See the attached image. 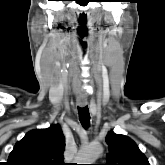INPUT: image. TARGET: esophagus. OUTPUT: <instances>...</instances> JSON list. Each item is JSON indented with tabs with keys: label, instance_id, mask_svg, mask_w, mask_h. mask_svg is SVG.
Instances as JSON below:
<instances>
[{
	"label": "esophagus",
	"instance_id": "obj_1",
	"mask_svg": "<svg viewBox=\"0 0 165 165\" xmlns=\"http://www.w3.org/2000/svg\"><path fill=\"white\" fill-rule=\"evenodd\" d=\"M77 105L80 107H85L87 105V100L86 99H78Z\"/></svg>",
	"mask_w": 165,
	"mask_h": 165
}]
</instances>
